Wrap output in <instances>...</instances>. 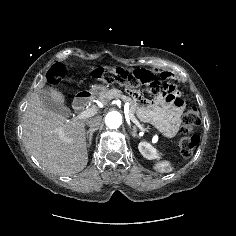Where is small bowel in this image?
Wrapping results in <instances>:
<instances>
[{
  "instance_id": "obj_1",
  "label": "small bowel",
  "mask_w": 236,
  "mask_h": 236,
  "mask_svg": "<svg viewBox=\"0 0 236 236\" xmlns=\"http://www.w3.org/2000/svg\"><path fill=\"white\" fill-rule=\"evenodd\" d=\"M148 73L156 76L155 73ZM159 76L168 87H174L173 84L169 82L172 78L170 73L161 72ZM181 113L182 106L178 100H171L165 96L160 97L153 103L144 100L140 102V117L155 125L167 137H172L177 133Z\"/></svg>"
}]
</instances>
